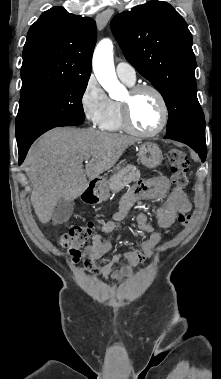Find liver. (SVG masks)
<instances>
[{
    "label": "liver",
    "mask_w": 221,
    "mask_h": 379,
    "mask_svg": "<svg viewBox=\"0 0 221 379\" xmlns=\"http://www.w3.org/2000/svg\"><path fill=\"white\" fill-rule=\"evenodd\" d=\"M132 136L94 129L55 128L34 143L25 159V172L32 183L31 202L42 223L52 218L57 202L72 201L97 178L112 168L128 146L137 142ZM90 159L83 168V161Z\"/></svg>",
    "instance_id": "1"
}]
</instances>
